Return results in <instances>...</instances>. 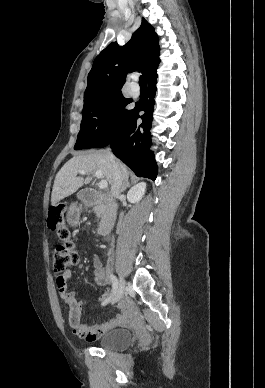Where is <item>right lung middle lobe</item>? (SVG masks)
I'll return each mask as SVG.
<instances>
[{
    "label": "right lung middle lobe",
    "instance_id": "obj_1",
    "mask_svg": "<svg viewBox=\"0 0 265 388\" xmlns=\"http://www.w3.org/2000/svg\"><path fill=\"white\" fill-rule=\"evenodd\" d=\"M121 90H105L84 99L81 129L74 149L105 147L117 136L131 110Z\"/></svg>",
    "mask_w": 265,
    "mask_h": 388
}]
</instances>
